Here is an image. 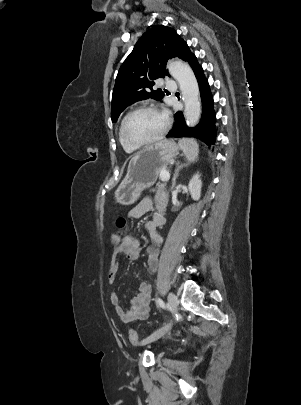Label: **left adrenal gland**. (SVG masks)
<instances>
[{"mask_svg":"<svg viewBox=\"0 0 301 405\" xmlns=\"http://www.w3.org/2000/svg\"><path fill=\"white\" fill-rule=\"evenodd\" d=\"M179 164V163H178ZM185 165H178L177 169L175 170L174 176H173V180H172V187L175 186L176 184V179L178 177V174L180 172V170L184 167Z\"/></svg>","mask_w":301,"mask_h":405,"instance_id":"1","label":"left adrenal gland"}]
</instances>
